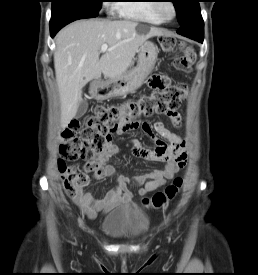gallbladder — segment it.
<instances>
[{"instance_id":"1","label":"gallbladder","mask_w":258,"mask_h":275,"mask_svg":"<svg viewBox=\"0 0 258 275\" xmlns=\"http://www.w3.org/2000/svg\"><path fill=\"white\" fill-rule=\"evenodd\" d=\"M87 109H88V102L86 100H82L78 105L76 116L77 117L83 116L86 113Z\"/></svg>"}]
</instances>
